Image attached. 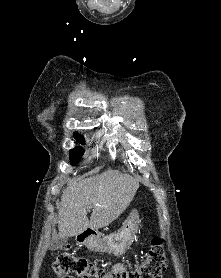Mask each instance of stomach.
Segmentation results:
<instances>
[{
	"instance_id": "1",
	"label": "stomach",
	"mask_w": 221,
	"mask_h": 278,
	"mask_svg": "<svg viewBox=\"0 0 221 278\" xmlns=\"http://www.w3.org/2000/svg\"><path fill=\"white\" fill-rule=\"evenodd\" d=\"M139 214L133 209L125 220L123 227L107 236L99 239L95 235H88L83 239H77L78 243L85 245L88 249L95 252H108L114 255H122L133 242L139 228Z\"/></svg>"
}]
</instances>
